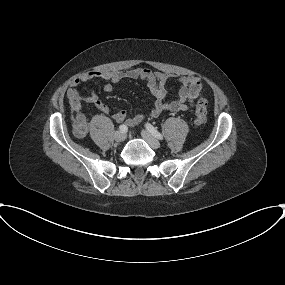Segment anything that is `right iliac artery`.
Masks as SVG:
<instances>
[{
  "label": "right iliac artery",
  "mask_w": 285,
  "mask_h": 285,
  "mask_svg": "<svg viewBox=\"0 0 285 285\" xmlns=\"http://www.w3.org/2000/svg\"><path fill=\"white\" fill-rule=\"evenodd\" d=\"M127 129H128L127 126L124 125V124H122V125L119 126V130L122 131V132H126Z\"/></svg>",
  "instance_id": "82829eb1"
}]
</instances>
